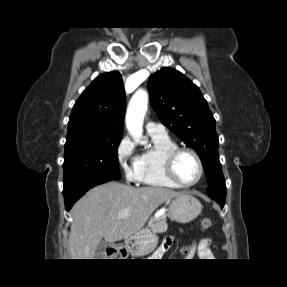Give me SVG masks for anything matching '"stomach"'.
Returning <instances> with one entry per match:
<instances>
[{
  "label": "stomach",
  "instance_id": "1",
  "mask_svg": "<svg viewBox=\"0 0 287 287\" xmlns=\"http://www.w3.org/2000/svg\"><path fill=\"white\" fill-rule=\"evenodd\" d=\"M201 211L202 205L199 200L188 194H181L173 198L168 208L171 220L182 224L193 221L201 214ZM157 243V235L148 228L125 239V247L133 256H144L151 253Z\"/></svg>",
  "mask_w": 287,
  "mask_h": 287
}]
</instances>
